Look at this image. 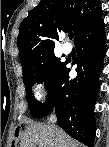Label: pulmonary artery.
<instances>
[{
  "label": "pulmonary artery",
  "instance_id": "1",
  "mask_svg": "<svg viewBox=\"0 0 109 147\" xmlns=\"http://www.w3.org/2000/svg\"><path fill=\"white\" fill-rule=\"evenodd\" d=\"M71 51H72L71 45L68 44V43L64 44V46H63V53L68 55V54L71 53Z\"/></svg>",
  "mask_w": 109,
  "mask_h": 147
}]
</instances>
